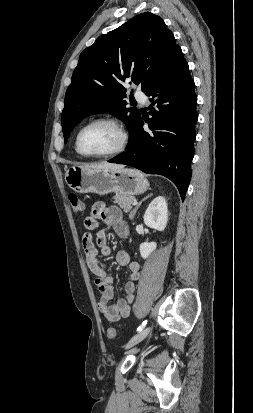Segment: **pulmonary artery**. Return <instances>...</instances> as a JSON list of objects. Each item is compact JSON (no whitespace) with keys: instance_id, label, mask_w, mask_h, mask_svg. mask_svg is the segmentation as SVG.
I'll list each match as a JSON object with an SVG mask.
<instances>
[{"instance_id":"obj_1","label":"pulmonary artery","mask_w":253,"mask_h":413,"mask_svg":"<svg viewBox=\"0 0 253 413\" xmlns=\"http://www.w3.org/2000/svg\"><path fill=\"white\" fill-rule=\"evenodd\" d=\"M135 97L143 104L147 103V97L141 90H136Z\"/></svg>"}]
</instances>
